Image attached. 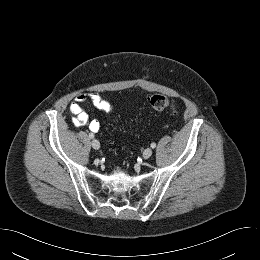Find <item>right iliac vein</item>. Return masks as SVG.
I'll list each match as a JSON object with an SVG mask.
<instances>
[{
  "mask_svg": "<svg viewBox=\"0 0 260 260\" xmlns=\"http://www.w3.org/2000/svg\"><path fill=\"white\" fill-rule=\"evenodd\" d=\"M92 147L95 149V150H98L100 148V143L97 139H93L92 142Z\"/></svg>",
  "mask_w": 260,
  "mask_h": 260,
  "instance_id": "63e3f726",
  "label": "right iliac vein"
}]
</instances>
